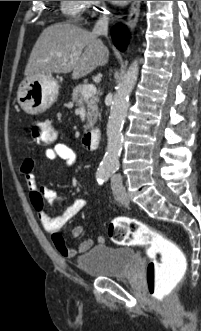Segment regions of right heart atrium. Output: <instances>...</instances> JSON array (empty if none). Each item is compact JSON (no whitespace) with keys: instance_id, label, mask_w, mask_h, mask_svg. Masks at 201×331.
<instances>
[{"instance_id":"right-heart-atrium-1","label":"right heart atrium","mask_w":201,"mask_h":331,"mask_svg":"<svg viewBox=\"0 0 201 331\" xmlns=\"http://www.w3.org/2000/svg\"><path fill=\"white\" fill-rule=\"evenodd\" d=\"M87 10H91L92 16H103L105 11L100 9L101 1H82Z\"/></svg>"}]
</instances>
